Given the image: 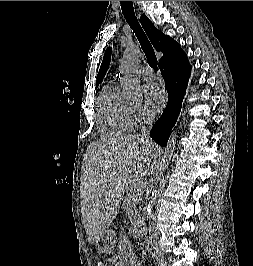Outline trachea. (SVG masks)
Here are the masks:
<instances>
[{"mask_svg":"<svg viewBox=\"0 0 253 266\" xmlns=\"http://www.w3.org/2000/svg\"><path fill=\"white\" fill-rule=\"evenodd\" d=\"M120 4H121L122 12H123V15L126 21L130 25V27L133 29V32L135 33V35L137 36L139 40L141 48L147 58L148 64L154 70H158V66H157L158 64H157V58L155 55V51L135 16L132 1H120Z\"/></svg>","mask_w":253,"mask_h":266,"instance_id":"obj_1","label":"trachea"}]
</instances>
